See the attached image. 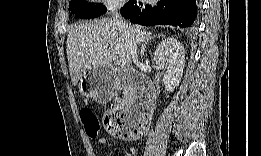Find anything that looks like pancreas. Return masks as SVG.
Listing matches in <instances>:
<instances>
[{"label": "pancreas", "mask_w": 261, "mask_h": 156, "mask_svg": "<svg viewBox=\"0 0 261 156\" xmlns=\"http://www.w3.org/2000/svg\"><path fill=\"white\" fill-rule=\"evenodd\" d=\"M128 96H129V92H127V91L125 90V91H124V97H123V101H124V102H127Z\"/></svg>", "instance_id": "pancreas-1"}]
</instances>
